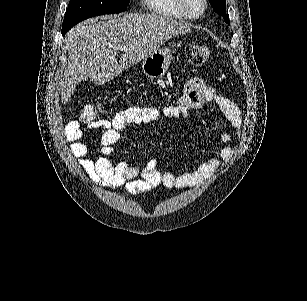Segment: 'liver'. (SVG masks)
Here are the masks:
<instances>
[{"label": "liver", "mask_w": 307, "mask_h": 301, "mask_svg": "<svg viewBox=\"0 0 307 301\" xmlns=\"http://www.w3.org/2000/svg\"><path fill=\"white\" fill-rule=\"evenodd\" d=\"M100 18V20H99ZM191 22L160 14L129 12L119 18L96 16L73 26L64 40L68 62L61 82L66 104L82 80L105 84L133 64L158 50L169 38L191 32ZM121 46H129L117 62Z\"/></svg>", "instance_id": "liver-1"}]
</instances>
